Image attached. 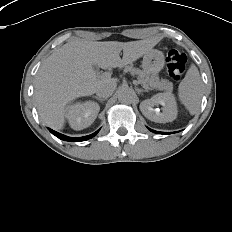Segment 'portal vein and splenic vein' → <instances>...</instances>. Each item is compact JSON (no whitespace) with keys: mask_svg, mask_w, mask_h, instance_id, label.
I'll return each mask as SVG.
<instances>
[{"mask_svg":"<svg viewBox=\"0 0 232 232\" xmlns=\"http://www.w3.org/2000/svg\"><path fill=\"white\" fill-rule=\"evenodd\" d=\"M110 74L109 73H103L102 77L105 78V77H109Z\"/></svg>","mask_w":232,"mask_h":232,"instance_id":"portal-vein-and-splenic-vein-1","label":"portal vein and splenic vein"}]
</instances>
